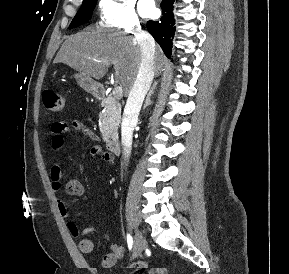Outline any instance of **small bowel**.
<instances>
[{
  "label": "small bowel",
  "instance_id": "c3829d8e",
  "mask_svg": "<svg viewBox=\"0 0 289 274\" xmlns=\"http://www.w3.org/2000/svg\"><path fill=\"white\" fill-rule=\"evenodd\" d=\"M70 130L81 132L82 134L87 135L94 141H98L99 139L98 136L90 128L77 120L54 122L51 125V149L53 151L57 152L63 148L65 142L64 135ZM90 154L92 157L98 158L107 164H112L114 162L112 154L104 151L100 145L92 146L90 149ZM50 179L52 191L55 194L59 193L62 187V168L59 162H55L51 166ZM64 189L65 193L68 196L72 197H82L85 194L84 185L77 179L69 180L65 184ZM57 207L63 217H68V210L66 204L60 198L57 199ZM67 228L71 235L74 237L84 236L94 231V229L91 227L79 229L77 225L72 221L67 223ZM78 247L81 253L90 254L94 250V243L88 238H83L79 241ZM125 252V246L113 244L112 250L103 255L101 259V265L105 268L113 267L116 262L125 255Z\"/></svg>",
  "mask_w": 289,
  "mask_h": 274
}]
</instances>
